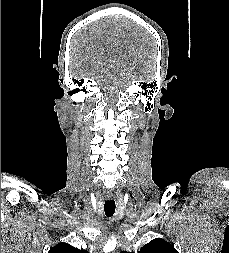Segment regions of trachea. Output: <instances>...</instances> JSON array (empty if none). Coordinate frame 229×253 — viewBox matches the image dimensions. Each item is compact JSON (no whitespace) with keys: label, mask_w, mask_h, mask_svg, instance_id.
Masks as SVG:
<instances>
[{"label":"trachea","mask_w":229,"mask_h":253,"mask_svg":"<svg viewBox=\"0 0 229 253\" xmlns=\"http://www.w3.org/2000/svg\"><path fill=\"white\" fill-rule=\"evenodd\" d=\"M104 211L107 217L113 216L115 212V201L114 200L105 201Z\"/></svg>","instance_id":"3493384b"}]
</instances>
